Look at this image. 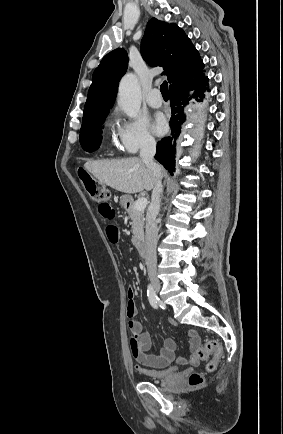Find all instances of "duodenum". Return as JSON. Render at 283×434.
<instances>
[{"label":"duodenum","mask_w":283,"mask_h":434,"mask_svg":"<svg viewBox=\"0 0 283 434\" xmlns=\"http://www.w3.org/2000/svg\"><path fill=\"white\" fill-rule=\"evenodd\" d=\"M127 202L129 204L130 201L128 200ZM137 248H138L140 255L145 258L147 256V252H148L146 240L141 239L137 244Z\"/></svg>","instance_id":"duodenum-1"}]
</instances>
